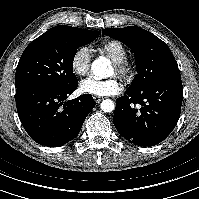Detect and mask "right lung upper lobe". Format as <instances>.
<instances>
[{
  "instance_id": "right-lung-upper-lobe-1",
  "label": "right lung upper lobe",
  "mask_w": 199,
  "mask_h": 199,
  "mask_svg": "<svg viewBox=\"0 0 199 199\" xmlns=\"http://www.w3.org/2000/svg\"><path fill=\"white\" fill-rule=\"evenodd\" d=\"M49 31L52 32H57V33H71V32H95L96 34H100L99 31H91V30H85L77 27H71V26H66V25H59L51 28Z\"/></svg>"
}]
</instances>
